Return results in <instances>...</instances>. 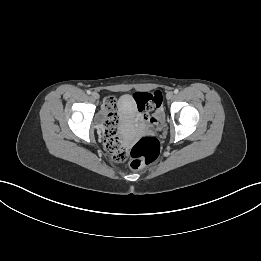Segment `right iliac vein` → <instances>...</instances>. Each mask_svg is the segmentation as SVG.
Listing matches in <instances>:
<instances>
[{"label": "right iliac vein", "mask_w": 261, "mask_h": 261, "mask_svg": "<svg viewBox=\"0 0 261 261\" xmlns=\"http://www.w3.org/2000/svg\"><path fill=\"white\" fill-rule=\"evenodd\" d=\"M91 96H92V98L95 99V100L99 99V94H98L97 92H93V93L91 94Z\"/></svg>", "instance_id": "63e3f726"}]
</instances>
